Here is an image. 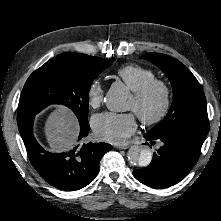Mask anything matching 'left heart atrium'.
Returning <instances> with one entry per match:
<instances>
[{
	"label": "left heart atrium",
	"mask_w": 221,
	"mask_h": 221,
	"mask_svg": "<svg viewBox=\"0 0 221 221\" xmlns=\"http://www.w3.org/2000/svg\"><path fill=\"white\" fill-rule=\"evenodd\" d=\"M92 126L97 136L107 142L122 144L137 129L133 113H101L94 116Z\"/></svg>",
	"instance_id": "obj_1"
}]
</instances>
